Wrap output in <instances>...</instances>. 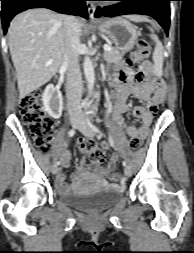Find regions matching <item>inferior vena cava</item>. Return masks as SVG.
Listing matches in <instances>:
<instances>
[{
    "label": "inferior vena cava",
    "mask_w": 194,
    "mask_h": 253,
    "mask_svg": "<svg viewBox=\"0 0 194 253\" xmlns=\"http://www.w3.org/2000/svg\"><path fill=\"white\" fill-rule=\"evenodd\" d=\"M66 49L63 64L67 71V108L70 119H83L81 111L82 76L79 66L80 28L77 18L66 16L65 22Z\"/></svg>",
    "instance_id": "1"
}]
</instances>
